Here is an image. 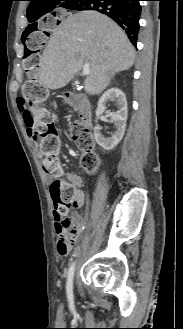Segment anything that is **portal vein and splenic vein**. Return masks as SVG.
Here are the masks:
<instances>
[{
	"label": "portal vein and splenic vein",
	"instance_id": "obj_1",
	"mask_svg": "<svg viewBox=\"0 0 183 329\" xmlns=\"http://www.w3.org/2000/svg\"><path fill=\"white\" fill-rule=\"evenodd\" d=\"M88 74H90V70H89V66L86 65L82 69V75L85 76V75H88Z\"/></svg>",
	"mask_w": 183,
	"mask_h": 329
}]
</instances>
